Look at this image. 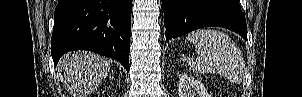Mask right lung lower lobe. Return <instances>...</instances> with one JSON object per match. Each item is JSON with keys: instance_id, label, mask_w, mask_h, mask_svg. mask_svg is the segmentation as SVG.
I'll use <instances>...</instances> for the list:
<instances>
[{"instance_id": "98d812e1", "label": "right lung lower lobe", "mask_w": 302, "mask_h": 97, "mask_svg": "<svg viewBox=\"0 0 302 97\" xmlns=\"http://www.w3.org/2000/svg\"><path fill=\"white\" fill-rule=\"evenodd\" d=\"M131 0H59L54 13V64L68 51L89 50L129 71Z\"/></svg>"}]
</instances>
